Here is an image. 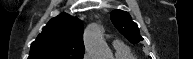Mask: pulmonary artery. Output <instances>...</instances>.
Returning <instances> with one entry per match:
<instances>
[{
  "label": "pulmonary artery",
  "instance_id": "obj_1",
  "mask_svg": "<svg viewBox=\"0 0 193 59\" xmlns=\"http://www.w3.org/2000/svg\"><path fill=\"white\" fill-rule=\"evenodd\" d=\"M114 47H115V49L125 48V46H124L123 44H121V43H115V44H114Z\"/></svg>",
  "mask_w": 193,
  "mask_h": 59
}]
</instances>
